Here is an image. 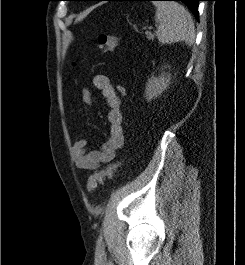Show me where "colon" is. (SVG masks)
I'll use <instances>...</instances> for the list:
<instances>
[{"mask_svg":"<svg viewBox=\"0 0 245 265\" xmlns=\"http://www.w3.org/2000/svg\"><path fill=\"white\" fill-rule=\"evenodd\" d=\"M118 43L119 38L117 36L111 34H100L96 40V48L101 53H106L114 50ZM118 90L122 95L127 93V88L122 84L118 86ZM119 164V162L110 163L103 169L97 170L94 174H92L87 182V190L91 193L96 192L103 180L114 174Z\"/></svg>","mask_w":245,"mask_h":265,"instance_id":"1","label":"colon"}]
</instances>
